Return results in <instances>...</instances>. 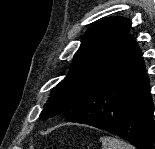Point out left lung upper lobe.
I'll return each instance as SVG.
<instances>
[{
	"instance_id": "1",
	"label": "left lung upper lobe",
	"mask_w": 155,
	"mask_h": 149,
	"mask_svg": "<svg viewBox=\"0 0 155 149\" xmlns=\"http://www.w3.org/2000/svg\"><path fill=\"white\" fill-rule=\"evenodd\" d=\"M131 21L124 17H109L84 34L74 55L68 75L51 92L40 120L65 118L81 96L114 63L125 40L129 37Z\"/></svg>"
}]
</instances>
